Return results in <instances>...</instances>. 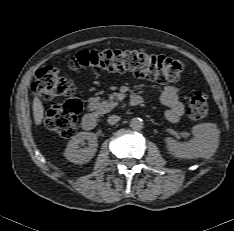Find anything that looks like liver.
Instances as JSON below:
<instances>
[{
	"instance_id": "6515ba94",
	"label": "liver",
	"mask_w": 234,
	"mask_h": 231,
	"mask_svg": "<svg viewBox=\"0 0 234 231\" xmlns=\"http://www.w3.org/2000/svg\"><path fill=\"white\" fill-rule=\"evenodd\" d=\"M32 108H33L34 122L37 126H39L44 116V108L41 100L38 97H34Z\"/></svg>"
}]
</instances>
